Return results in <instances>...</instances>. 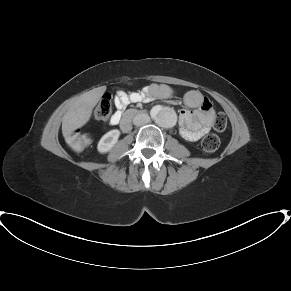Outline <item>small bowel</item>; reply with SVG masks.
<instances>
[{
	"mask_svg": "<svg viewBox=\"0 0 291 291\" xmlns=\"http://www.w3.org/2000/svg\"><path fill=\"white\" fill-rule=\"evenodd\" d=\"M174 90L168 85L153 84L145 92H133L129 95L120 94L115 98L116 112L110 124L120 121L129 102L150 101L153 99H170ZM184 103L191 110H182L179 115L180 134L189 141H197L209 132L213 120L214 110L209 100L196 89L188 91L184 96Z\"/></svg>",
	"mask_w": 291,
	"mask_h": 291,
	"instance_id": "obj_1",
	"label": "small bowel"
}]
</instances>
